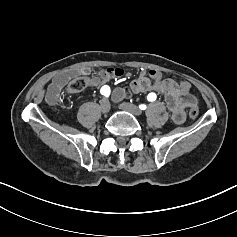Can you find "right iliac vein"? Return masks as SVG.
Masks as SVG:
<instances>
[{"label":"right iliac vein","mask_w":237,"mask_h":237,"mask_svg":"<svg viewBox=\"0 0 237 237\" xmlns=\"http://www.w3.org/2000/svg\"><path fill=\"white\" fill-rule=\"evenodd\" d=\"M100 108L104 114H107L110 111V103L108 99L104 98L100 101Z\"/></svg>","instance_id":"right-iliac-vein-1"}]
</instances>
